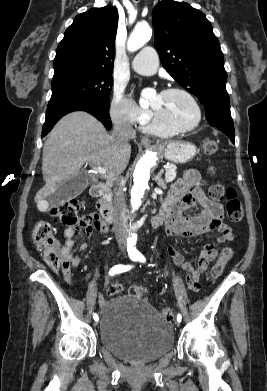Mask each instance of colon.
Masks as SVG:
<instances>
[{"instance_id":"obj_1","label":"colon","mask_w":267,"mask_h":391,"mask_svg":"<svg viewBox=\"0 0 267 391\" xmlns=\"http://www.w3.org/2000/svg\"><path fill=\"white\" fill-rule=\"evenodd\" d=\"M203 151L206 155H213L218 149L217 142L212 138H205L202 144ZM212 172L213 168L210 169ZM213 200L226 198V211L230 221L240 222L243 219L242 203L234 188L229 187L226 190L221 184H213L209 191ZM47 212L55 221L69 226H77L82 223L92 221L91 216L80 214V203L76 199H68L58 203H51ZM31 238L38 250L43 254L45 262L54 270L63 267V258L60 254V248L51 226L44 221L37 222L32 230ZM233 251L229 247L222 249L220 256L211 269V278H218L226 265L231 259ZM122 290L120 283L113 282L109 284L107 292L110 296L118 295ZM132 296L143 297L145 288L142 286H133L129 290ZM165 321L171 322L174 319V312L170 308H164L161 312Z\"/></svg>"}]
</instances>
